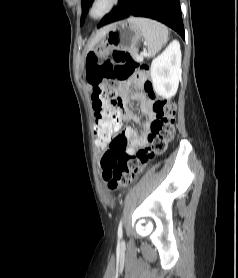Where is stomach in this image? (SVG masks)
Returning <instances> with one entry per match:
<instances>
[{
	"instance_id": "0dacf381",
	"label": "stomach",
	"mask_w": 238,
	"mask_h": 278,
	"mask_svg": "<svg viewBox=\"0 0 238 278\" xmlns=\"http://www.w3.org/2000/svg\"><path fill=\"white\" fill-rule=\"evenodd\" d=\"M143 34L139 27L129 20L118 21L107 27L105 35L93 48L99 61L107 59L113 50L135 49Z\"/></svg>"
}]
</instances>
